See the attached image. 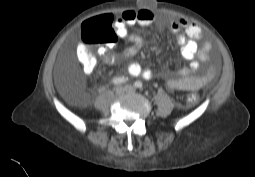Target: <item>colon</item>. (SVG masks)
<instances>
[{
	"instance_id": "5ec220e1",
	"label": "colon",
	"mask_w": 255,
	"mask_h": 177,
	"mask_svg": "<svg viewBox=\"0 0 255 177\" xmlns=\"http://www.w3.org/2000/svg\"><path fill=\"white\" fill-rule=\"evenodd\" d=\"M81 38L84 43L80 52L79 59L87 66L93 65V59L87 52V45L96 44L104 47H111L117 40V35L111 28L110 21L103 15L85 21L81 29ZM189 100L195 102L198 96L195 94L189 95Z\"/></svg>"
}]
</instances>
